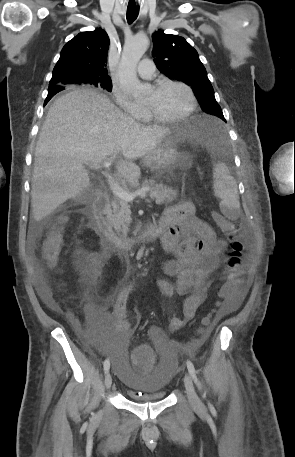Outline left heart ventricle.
Masks as SVG:
<instances>
[{"instance_id": "b2bd125f", "label": "left heart ventricle", "mask_w": 295, "mask_h": 457, "mask_svg": "<svg viewBox=\"0 0 295 457\" xmlns=\"http://www.w3.org/2000/svg\"><path fill=\"white\" fill-rule=\"evenodd\" d=\"M144 104L163 117H174L188 109L190 100L185 89L168 85L158 90L151 89Z\"/></svg>"}]
</instances>
